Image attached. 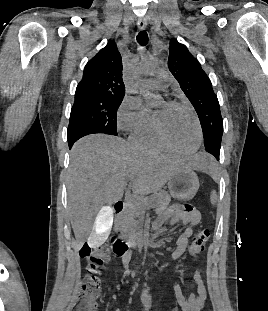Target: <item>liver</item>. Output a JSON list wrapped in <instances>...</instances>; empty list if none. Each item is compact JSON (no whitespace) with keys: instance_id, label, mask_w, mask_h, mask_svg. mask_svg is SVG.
<instances>
[{"instance_id":"liver-1","label":"liver","mask_w":268,"mask_h":311,"mask_svg":"<svg viewBox=\"0 0 268 311\" xmlns=\"http://www.w3.org/2000/svg\"><path fill=\"white\" fill-rule=\"evenodd\" d=\"M210 158L199 153L189 159L143 150L120 137L92 134L72 147L68 169V207L79 247L95 236L98 214L106 215L122 199L127 178L134 177L135 195L156 193L180 169H207ZM103 209V210H102Z\"/></svg>"}]
</instances>
